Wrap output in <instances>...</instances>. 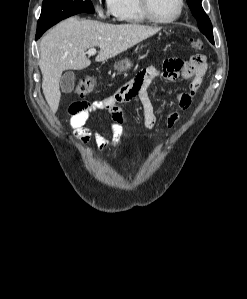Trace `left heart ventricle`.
<instances>
[{
	"label": "left heart ventricle",
	"instance_id": "left-heart-ventricle-1",
	"mask_svg": "<svg viewBox=\"0 0 247 299\" xmlns=\"http://www.w3.org/2000/svg\"><path fill=\"white\" fill-rule=\"evenodd\" d=\"M152 13L159 19H168L178 10V0H150Z\"/></svg>",
	"mask_w": 247,
	"mask_h": 299
}]
</instances>
